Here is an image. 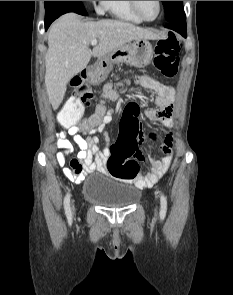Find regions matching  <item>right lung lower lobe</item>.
Wrapping results in <instances>:
<instances>
[{
    "mask_svg": "<svg viewBox=\"0 0 233 295\" xmlns=\"http://www.w3.org/2000/svg\"><path fill=\"white\" fill-rule=\"evenodd\" d=\"M45 11V30L49 28L55 19L67 12H75L84 16L88 15L81 1H69L56 6L46 7Z\"/></svg>",
    "mask_w": 233,
    "mask_h": 295,
    "instance_id": "98d812e1",
    "label": "right lung lower lobe"
}]
</instances>
